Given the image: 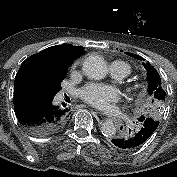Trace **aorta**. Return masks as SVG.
<instances>
[{"mask_svg":"<svg viewBox=\"0 0 177 177\" xmlns=\"http://www.w3.org/2000/svg\"><path fill=\"white\" fill-rule=\"evenodd\" d=\"M82 70L88 78L99 80L106 76L107 66L101 56L90 55L84 60ZM100 129L105 136H113L116 133V126L110 119L105 120Z\"/></svg>","mask_w":177,"mask_h":177,"instance_id":"1","label":"aorta"}]
</instances>
